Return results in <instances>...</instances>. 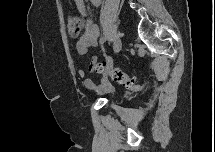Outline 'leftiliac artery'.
I'll return each mask as SVG.
<instances>
[{
    "label": "left iliac artery",
    "instance_id": "obj_1",
    "mask_svg": "<svg viewBox=\"0 0 215 152\" xmlns=\"http://www.w3.org/2000/svg\"><path fill=\"white\" fill-rule=\"evenodd\" d=\"M105 41H106V37H103L101 39V43H104ZM107 57H108V67L103 71L105 74L109 72L111 69H113V57L110 54Z\"/></svg>",
    "mask_w": 215,
    "mask_h": 152
}]
</instances>
